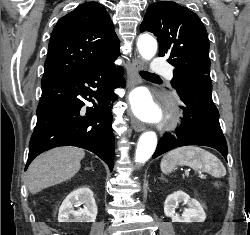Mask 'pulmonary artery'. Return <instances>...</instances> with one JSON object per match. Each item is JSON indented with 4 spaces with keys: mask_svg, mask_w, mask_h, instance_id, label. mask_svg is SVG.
I'll return each mask as SVG.
<instances>
[{
    "mask_svg": "<svg viewBox=\"0 0 250 235\" xmlns=\"http://www.w3.org/2000/svg\"><path fill=\"white\" fill-rule=\"evenodd\" d=\"M151 71L153 73L165 74L166 77L171 80L173 78V73L169 68V65L164 62L160 57H155L151 63Z\"/></svg>",
    "mask_w": 250,
    "mask_h": 235,
    "instance_id": "pulmonary-artery-1",
    "label": "pulmonary artery"
}]
</instances>
